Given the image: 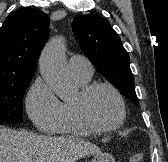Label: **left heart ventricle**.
<instances>
[{"mask_svg": "<svg viewBox=\"0 0 168 162\" xmlns=\"http://www.w3.org/2000/svg\"><path fill=\"white\" fill-rule=\"evenodd\" d=\"M85 106L89 117L99 125L113 124L120 115V109L114 95L106 89L94 91L87 99Z\"/></svg>", "mask_w": 168, "mask_h": 162, "instance_id": "left-heart-ventricle-1", "label": "left heart ventricle"}]
</instances>
